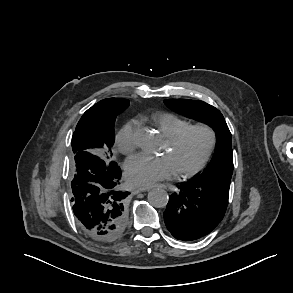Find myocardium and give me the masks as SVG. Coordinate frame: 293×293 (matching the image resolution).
<instances>
[{"label":"myocardium","mask_w":293,"mask_h":293,"mask_svg":"<svg viewBox=\"0 0 293 293\" xmlns=\"http://www.w3.org/2000/svg\"><path fill=\"white\" fill-rule=\"evenodd\" d=\"M193 130L204 131L207 135V143H206V146H205V149H204L202 155L195 162L194 165H192L191 167H189L185 170L177 171L176 174L179 177H190V176L196 174L205 165V163L207 162V160L211 156V154L214 150L215 144H216V133H215L214 129L210 125L205 124V123H195V124H190V125L186 126L182 130L177 132L175 135L167 138V143L170 146H175V145L179 144L184 139V137L189 132H191Z\"/></svg>","instance_id":"1"}]
</instances>
